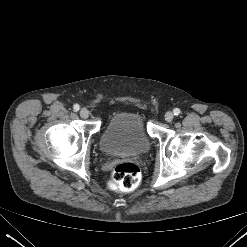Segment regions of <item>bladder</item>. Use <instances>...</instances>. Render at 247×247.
Segmentation results:
<instances>
[{
  "label": "bladder",
  "mask_w": 247,
  "mask_h": 247,
  "mask_svg": "<svg viewBox=\"0 0 247 247\" xmlns=\"http://www.w3.org/2000/svg\"><path fill=\"white\" fill-rule=\"evenodd\" d=\"M99 147L109 156L147 153L151 140L143 116L131 111L116 113L104 127Z\"/></svg>",
  "instance_id": "bladder-1"
}]
</instances>
